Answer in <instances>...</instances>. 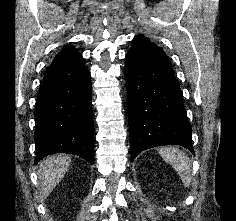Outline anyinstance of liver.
Returning a JSON list of instances; mask_svg holds the SVG:
<instances>
[{
	"mask_svg": "<svg viewBox=\"0 0 236 221\" xmlns=\"http://www.w3.org/2000/svg\"><path fill=\"white\" fill-rule=\"evenodd\" d=\"M71 158L68 155L57 154L48 156L39 163L37 171L39 179V200L43 202L68 171Z\"/></svg>",
	"mask_w": 236,
	"mask_h": 221,
	"instance_id": "liver-1",
	"label": "liver"
}]
</instances>
